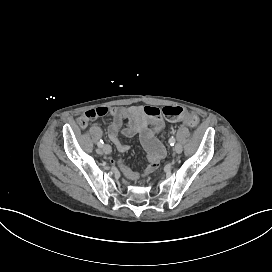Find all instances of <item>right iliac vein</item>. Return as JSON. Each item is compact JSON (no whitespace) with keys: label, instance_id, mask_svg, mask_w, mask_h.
Masks as SVG:
<instances>
[{"label":"right iliac vein","instance_id":"right-iliac-vein-1","mask_svg":"<svg viewBox=\"0 0 272 272\" xmlns=\"http://www.w3.org/2000/svg\"><path fill=\"white\" fill-rule=\"evenodd\" d=\"M102 150H103V152H104L105 154H110L111 151H112L110 145H108V144L103 145V146H102Z\"/></svg>","mask_w":272,"mask_h":272}]
</instances>
